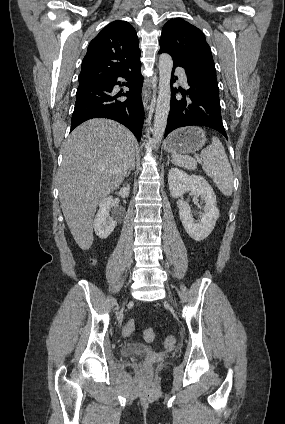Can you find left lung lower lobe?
<instances>
[{
    "label": "left lung lower lobe",
    "mask_w": 285,
    "mask_h": 424,
    "mask_svg": "<svg viewBox=\"0 0 285 424\" xmlns=\"http://www.w3.org/2000/svg\"><path fill=\"white\" fill-rule=\"evenodd\" d=\"M159 53H164V51L160 50ZM177 66L185 69L190 88L188 90L179 89L183 98H176L178 90L176 88L172 90L164 137L179 127L201 125L211 127L227 138L221 118L215 67L205 64L186 67L174 60L172 73ZM174 81L172 77L171 84Z\"/></svg>",
    "instance_id": "left-lung-lower-lobe-1"
}]
</instances>
